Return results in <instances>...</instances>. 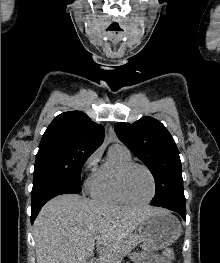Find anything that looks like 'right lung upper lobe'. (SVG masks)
Wrapping results in <instances>:
<instances>
[{"mask_svg": "<svg viewBox=\"0 0 220 263\" xmlns=\"http://www.w3.org/2000/svg\"><path fill=\"white\" fill-rule=\"evenodd\" d=\"M103 140L102 125L81 111H70L55 117L42 136L38 152L49 149L94 152Z\"/></svg>", "mask_w": 220, "mask_h": 263, "instance_id": "1", "label": "right lung upper lobe"}]
</instances>
